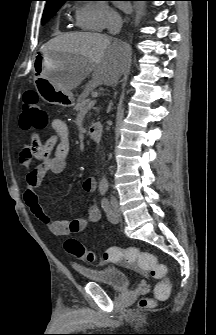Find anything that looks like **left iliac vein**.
Returning a JSON list of instances; mask_svg holds the SVG:
<instances>
[{"mask_svg":"<svg viewBox=\"0 0 216 335\" xmlns=\"http://www.w3.org/2000/svg\"><path fill=\"white\" fill-rule=\"evenodd\" d=\"M111 206H112V211L115 215V219L113 222L118 223L120 220V208H119L118 202L116 200H112Z\"/></svg>","mask_w":216,"mask_h":335,"instance_id":"obj_1","label":"left iliac vein"}]
</instances>
